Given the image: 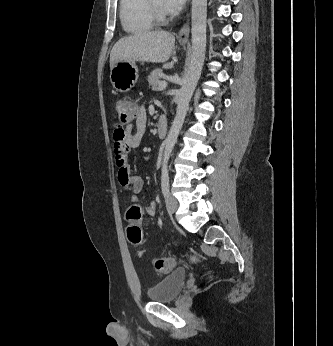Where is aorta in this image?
I'll return each instance as SVG.
<instances>
[{"label": "aorta", "instance_id": "1", "mask_svg": "<svg viewBox=\"0 0 333 346\" xmlns=\"http://www.w3.org/2000/svg\"><path fill=\"white\" fill-rule=\"evenodd\" d=\"M207 0H192V54L189 69L180 89L176 115L165 139L163 166H167L184 123L189 103L200 78L206 51Z\"/></svg>", "mask_w": 333, "mask_h": 346}]
</instances>
